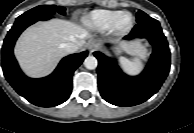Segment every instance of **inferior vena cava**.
<instances>
[{
	"label": "inferior vena cava",
	"mask_w": 194,
	"mask_h": 133,
	"mask_svg": "<svg viewBox=\"0 0 194 133\" xmlns=\"http://www.w3.org/2000/svg\"><path fill=\"white\" fill-rule=\"evenodd\" d=\"M66 53H74L78 50V46L75 43L67 42L62 45Z\"/></svg>",
	"instance_id": "1"
}]
</instances>
